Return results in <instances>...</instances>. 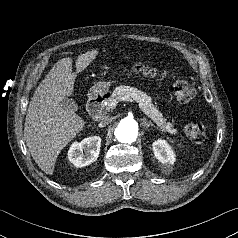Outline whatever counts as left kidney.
<instances>
[{"label":"left kidney","instance_id":"5707ae66","mask_svg":"<svg viewBox=\"0 0 238 238\" xmlns=\"http://www.w3.org/2000/svg\"><path fill=\"white\" fill-rule=\"evenodd\" d=\"M153 151L155 157L162 163V164H169L173 165L176 161V155L172 150L171 146L162 139H159L153 142Z\"/></svg>","mask_w":238,"mask_h":238}]
</instances>
